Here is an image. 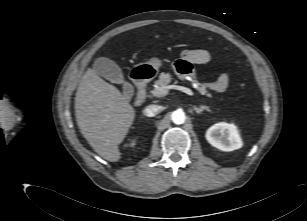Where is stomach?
Segmentation results:
<instances>
[{
  "instance_id": "1",
  "label": "stomach",
  "mask_w": 307,
  "mask_h": 221,
  "mask_svg": "<svg viewBox=\"0 0 307 221\" xmlns=\"http://www.w3.org/2000/svg\"><path fill=\"white\" fill-rule=\"evenodd\" d=\"M161 66L162 61L158 58H152L150 61L140 64V67H144L150 71V77L154 76Z\"/></svg>"
}]
</instances>
